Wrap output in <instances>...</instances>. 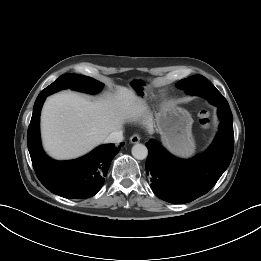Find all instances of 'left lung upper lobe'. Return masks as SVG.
<instances>
[{"label": "left lung upper lobe", "instance_id": "left-lung-upper-lobe-1", "mask_svg": "<svg viewBox=\"0 0 261 261\" xmlns=\"http://www.w3.org/2000/svg\"><path fill=\"white\" fill-rule=\"evenodd\" d=\"M205 80H207L205 77H203L201 75H195V76L180 80L176 85L178 88L189 91L194 86H196L199 82L205 81Z\"/></svg>", "mask_w": 261, "mask_h": 261}]
</instances>
